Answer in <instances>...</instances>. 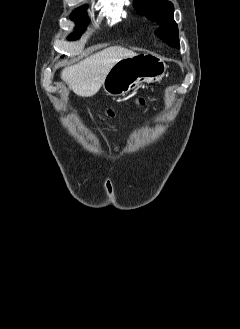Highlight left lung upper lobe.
I'll return each mask as SVG.
<instances>
[{"mask_svg":"<svg viewBox=\"0 0 240 329\" xmlns=\"http://www.w3.org/2000/svg\"><path fill=\"white\" fill-rule=\"evenodd\" d=\"M135 9L160 24L155 34L171 47L179 48L178 27L173 19L174 7L167 0H134Z\"/></svg>","mask_w":240,"mask_h":329,"instance_id":"1","label":"left lung upper lobe"}]
</instances>
